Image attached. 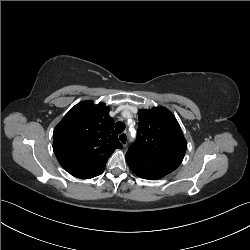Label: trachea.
<instances>
[{
	"instance_id": "3493384b",
	"label": "trachea",
	"mask_w": 250,
	"mask_h": 250,
	"mask_svg": "<svg viewBox=\"0 0 250 250\" xmlns=\"http://www.w3.org/2000/svg\"><path fill=\"white\" fill-rule=\"evenodd\" d=\"M125 129V124L123 122H117L115 124V130L118 134L122 133Z\"/></svg>"
}]
</instances>
